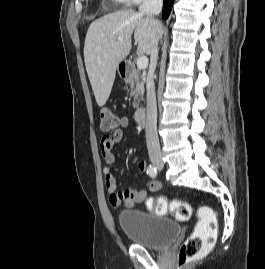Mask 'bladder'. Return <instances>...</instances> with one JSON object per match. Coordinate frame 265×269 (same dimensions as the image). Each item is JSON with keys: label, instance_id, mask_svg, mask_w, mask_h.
I'll list each match as a JSON object with an SVG mask.
<instances>
[{"label": "bladder", "instance_id": "31cf9c89", "mask_svg": "<svg viewBox=\"0 0 265 269\" xmlns=\"http://www.w3.org/2000/svg\"><path fill=\"white\" fill-rule=\"evenodd\" d=\"M118 224L134 244L151 250L169 247L180 233L179 225L173 220L137 209L121 211Z\"/></svg>", "mask_w": 265, "mask_h": 269}]
</instances>
